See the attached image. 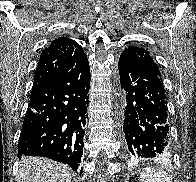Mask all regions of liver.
Segmentation results:
<instances>
[{
    "mask_svg": "<svg viewBox=\"0 0 196 182\" xmlns=\"http://www.w3.org/2000/svg\"><path fill=\"white\" fill-rule=\"evenodd\" d=\"M18 182H71V169L44 157H24Z\"/></svg>",
    "mask_w": 196,
    "mask_h": 182,
    "instance_id": "1",
    "label": "liver"
}]
</instances>
